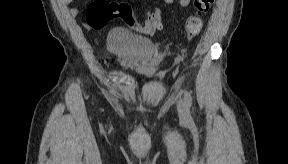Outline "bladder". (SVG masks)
<instances>
[{
	"instance_id": "bladder-1",
	"label": "bladder",
	"mask_w": 288,
	"mask_h": 164,
	"mask_svg": "<svg viewBox=\"0 0 288 164\" xmlns=\"http://www.w3.org/2000/svg\"><path fill=\"white\" fill-rule=\"evenodd\" d=\"M109 46L122 61L137 68L149 66L156 53V47L150 40L123 34H113Z\"/></svg>"
}]
</instances>
